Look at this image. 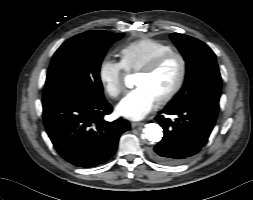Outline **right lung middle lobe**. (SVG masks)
I'll return each instance as SVG.
<instances>
[{"label":"right lung middle lobe","instance_id":"obj_1","mask_svg":"<svg viewBox=\"0 0 253 200\" xmlns=\"http://www.w3.org/2000/svg\"><path fill=\"white\" fill-rule=\"evenodd\" d=\"M123 35L111 32L100 35L88 31L64 42L55 52L49 66L43 100H103L100 65L107 49Z\"/></svg>","mask_w":253,"mask_h":200}]
</instances>
